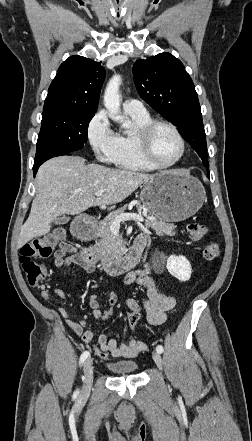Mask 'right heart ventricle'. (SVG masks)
Returning <instances> with one entry per match:
<instances>
[{
    "instance_id": "e07e8e85",
    "label": "right heart ventricle",
    "mask_w": 252,
    "mask_h": 441,
    "mask_svg": "<svg viewBox=\"0 0 252 441\" xmlns=\"http://www.w3.org/2000/svg\"><path fill=\"white\" fill-rule=\"evenodd\" d=\"M131 117L134 128L131 131L123 132L118 135V149L114 163L122 169L137 171V172H150L155 170L149 165L141 156L138 144H137V132L138 130L152 121L150 115L129 114Z\"/></svg>"
}]
</instances>
